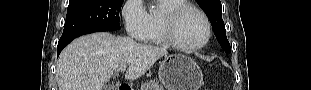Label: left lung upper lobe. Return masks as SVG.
Returning <instances> with one entry per match:
<instances>
[{
  "label": "left lung upper lobe",
  "mask_w": 311,
  "mask_h": 90,
  "mask_svg": "<svg viewBox=\"0 0 311 90\" xmlns=\"http://www.w3.org/2000/svg\"><path fill=\"white\" fill-rule=\"evenodd\" d=\"M209 18L217 41L225 52H231L230 44L226 37L225 25L222 19V6L220 0H197Z\"/></svg>",
  "instance_id": "left-lung-upper-lobe-1"
}]
</instances>
